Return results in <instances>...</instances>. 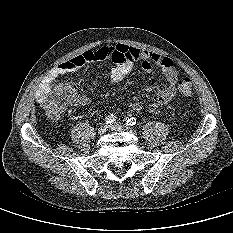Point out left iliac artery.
Masks as SVG:
<instances>
[{"mask_svg": "<svg viewBox=\"0 0 233 233\" xmlns=\"http://www.w3.org/2000/svg\"><path fill=\"white\" fill-rule=\"evenodd\" d=\"M126 125L127 126H134V125H136V119L134 117H131V118L127 119Z\"/></svg>", "mask_w": 233, "mask_h": 233, "instance_id": "1", "label": "left iliac artery"}]
</instances>
